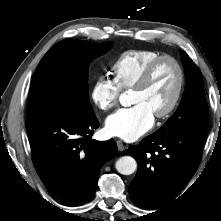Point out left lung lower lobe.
<instances>
[{
  "label": "left lung lower lobe",
  "instance_id": "1",
  "mask_svg": "<svg viewBox=\"0 0 221 221\" xmlns=\"http://www.w3.org/2000/svg\"><path fill=\"white\" fill-rule=\"evenodd\" d=\"M204 135L168 133L145 137L129 152L138 171L129 185L133 203L158 209L176 198L195 174L201 161Z\"/></svg>",
  "mask_w": 221,
  "mask_h": 221
}]
</instances>
